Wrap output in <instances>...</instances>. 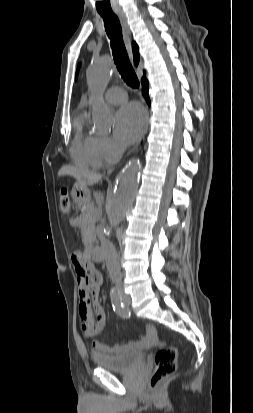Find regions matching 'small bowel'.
<instances>
[{"label": "small bowel", "mask_w": 253, "mask_h": 413, "mask_svg": "<svg viewBox=\"0 0 253 413\" xmlns=\"http://www.w3.org/2000/svg\"><path fill=\"white\" fill-rule=\"evenodd\" d=\"M77 218H71V223H75ZM78 282V314L81 328L85 336L92 338L95 352L100 354H117L126 349L146 348L156 341V330L152 325H145L143 333L137 341L129 344L108 346L95 339L105 327V311L99 301L100 289L103 285V276L94 263L85 257L81 252L72 254Z\"/></svg>", "instance_id": "obj_1"}]
</instances>
